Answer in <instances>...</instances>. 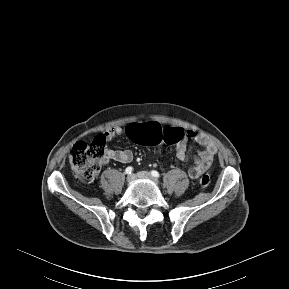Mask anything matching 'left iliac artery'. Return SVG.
I'll use <instances>...</instances> for the list:
<instances>
[{
    "mask_svg": "<svg viewBox=\"0 0 289 289\" xmlns=\"http://www.w3.org/2000/svg\"><path fill=\"white\" fill-rule=\"evenodd\" d=\"M151 174H152L153 177H156V178L160 177V174L156 170H152Z\"/></svg>",
    "mask_w": 289,
    "mask_h": 289,
    "instance_id": "44dca946",
    "label": "left iliac artery"
}]
</instances>
